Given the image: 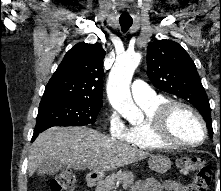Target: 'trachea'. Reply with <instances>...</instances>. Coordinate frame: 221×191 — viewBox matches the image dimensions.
Masks as SVG:
<instances>
[{
  "mask_svg": "<svg viewBox=\"0 0 221 191\" xmlns=\"http://www.w3.org/2000/svg\"><path fill=\"white\" fill-rule=\"evenodd\" d=\"M120 26L123 32H126L133 23L132 18H119Z\"/></svg>",
  "mask_w": 221,
  "mask_h": 191,
  "instance_id": "3493384b",
  "label": "trachea"
}]
</instances>
